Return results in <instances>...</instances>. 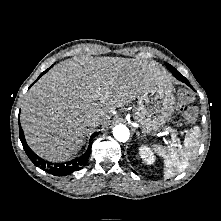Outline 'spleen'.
<instances>
[{
    "mask_svg": "<svg viewBox=\"0 0 221 221\" xmlns=\"http://www.w3.org/2000/svg\"><path fill=\"white\" fill-rule=\"evenodd\" d=\"M199 136L200 129L195 126L185 137L183 147L153 145L155 152L164 159V176L166 178L183 172L189 166L200 146Z\"/></svg>",
    "mask_w": 221,
    "mask_h": 221,
    "instance_id": "1",
    "label": "spleen"
}]
</instances>
